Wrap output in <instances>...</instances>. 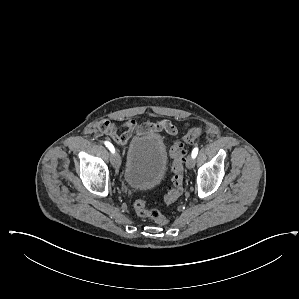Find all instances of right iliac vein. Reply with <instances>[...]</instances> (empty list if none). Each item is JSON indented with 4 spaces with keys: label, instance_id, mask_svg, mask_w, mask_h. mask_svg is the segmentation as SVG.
<instances>
[{
    "label": "right iliac vein",
    "instance_id": "right-iliac-vein-1",
    "mask_svg": "<svg viewBox=\"0 0 299 299\" xmlns=\"http://www.w3.org/2000/svg\"><path fill=\"white\" fill-rule=\"evenodd\" d=\"M111 163L116 170H119L120 165H121V159H120V156L118 153H115L112 156Z\"/></svg>",
    "mask_w": 299,
    "mask_h": 299
}]
</instances>
